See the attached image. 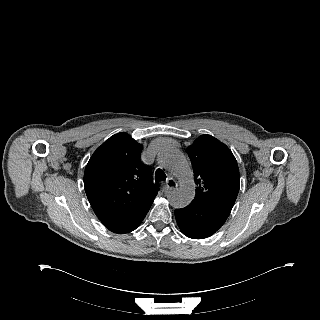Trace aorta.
<instances>
[{
	"label": "aorta",
	"instance_id": "obj_1",
	"mask_svg": "<svg viewBox=\"0 0 320 320\" xmlns=\"http://www.w3.org/2000/svg\"><path fill=\"white\" fill-rule=\"evenodd\" d=\"M161 165L181 181V186L168 196L174 208H184L191 203L195 195L193 172L185 156L176 148L167 147L159 154Z\"/></svg>",
	"mask_w": 320,
	"mask_h": 320
}]
</instances>
